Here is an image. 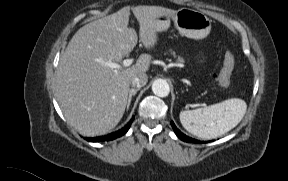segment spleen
Segmentation results:
<instances>
[{
	"mask_svg": "<svg viewBox=\"0 0 288 181\" xmlns=\"http://www.w3.org/2000/svg\"><path fill=\"white\" fill-rule=\"evenodd\" d=\"M246 110L244 100L231 98L204 108L181 111L179 117L182 126L191 134L213 139L235 128Z\"/></svg>",
	"mask_w": 288,
	"mask_h": 181,
	"instance_id": "3e777b00",
	"label": "spleen"
}]
</instances>
